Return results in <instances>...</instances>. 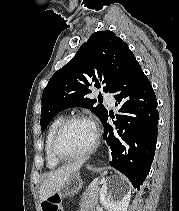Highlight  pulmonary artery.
<instances>
[{
  "mask_svg": "<svg viewBox=\"0 0 179 211\" xmlns=\"http://www.w3.org/2000/svg\"><path fill=\"white\" fill-rule=\"evenodd\" d=\"M105 101L110 105L113 106L114 105V97L111 93L109 92H105L103 94Z\"/></svg>",
  "mask_w": 179,
  "mask_h": 211,
  "instance_id": "e3ab8cb5",
  "label": "pulmonary artery"
}]
</instances>
